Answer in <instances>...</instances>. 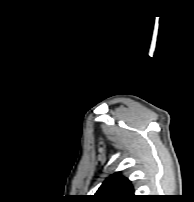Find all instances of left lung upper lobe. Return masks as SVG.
Masks as SVG:
<instances>
[{
	"mask_svg": "<svg viewBox=\"0 0 194 202\" xmlns=\"http://www.w3.org/2000/svg\"><path fill=\"white\" fill-rule=\"evenodd\" d=\"M93 197L99 202H131L137 198L130 181L119 172L107 178Z\"/></svg>",
	"mask_w": 194,
	"mask_h": 202,
	"instance_id": "5c2ea615",
	"label": "left lung upper lobe"
}]
</instances>
